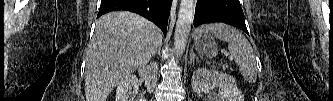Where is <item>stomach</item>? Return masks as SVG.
Wrapping results in <instances>:
<instances>
[{"label":"stomach","instance_id":"0dacf381","mask_svg":"<svg viewBox=\"0 0 333 101\" xmlns=\"http://www.w3.org/2000/svg\"><path fill=\"white\" fill-rule=\"evenodd\" d=\"M194 46L199 55H205L210 59L216 57L218 53L217 42L214 35L202 34L196 36Z\"/></svg>","mask_w":333,"mask_h":101}]
</instances>
